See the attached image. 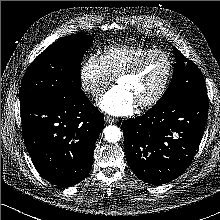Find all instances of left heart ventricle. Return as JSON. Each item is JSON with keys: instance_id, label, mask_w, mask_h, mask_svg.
<instances>
[{"instance_id": "obj_1", "label": "left heart ventricle", "mask_w": 220, "mask_h": 220, "mask_svg": "<svg viewBox=\"0 0 220 220\" xmlns=\"http://www.w3.org/2000/svg\"><path fill=\"white\" fill-rule=\"evenodd\" d=\"M166 73V60L161 56H153L145 61L135 76L121 78L117 81V85L127 90L136 105H139L155 95L162 85Z\"/></svg>"}]
</instances>
